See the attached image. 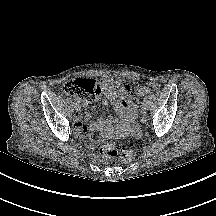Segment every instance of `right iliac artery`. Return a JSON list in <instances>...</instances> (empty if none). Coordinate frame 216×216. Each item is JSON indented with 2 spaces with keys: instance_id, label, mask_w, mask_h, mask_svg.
<instances>
[{
  "instance_id": "right-iliac-artery-1",
  "label": "right iliac artery",
  "mask_w": 216,
  "mask_h": 216,
  "mask_svg": "<svg viewBox=\"0 0 216 216\" xmlns=\"http://www.w3.org/2000/svg\"><path fill=\"white\" fill-rule=\"evenodd\" d=\"M74 103H75V104H78V103H79V100H78V99H75V100H74Z\"/></svg>"
}]
</instances>
